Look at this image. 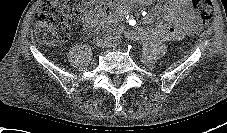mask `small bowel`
Segmentation results:
<instances>
[{"label": "small bowel", "instance_id": "small-bowel-1", "mask_svg": "<svg viewBox=\"0 0 227 133\" xmlns=\"http://www.w3.org/2000/svg\"><path fill=\"white\" fill-rule=\"evenodd\" d=\"M139 4H149L153 0H134ZM189 0H168L158 4V15L162 19L155 28L137 27L128 29L125 35L130 39H145L153 41L179 40L185 35L196 33L200 22L188 5ZM127 6H123L113 19L115 21L125 16ZM148 19L147 22H150Z\"/></svg>", "mask_w": 227, "mask_h": 133}]
</instances>
